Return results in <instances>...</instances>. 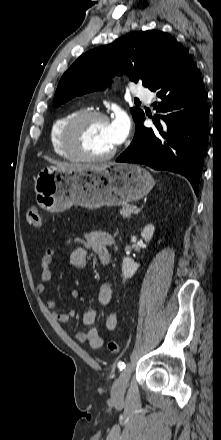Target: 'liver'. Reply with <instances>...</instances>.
Masks as SVG:
<instances>
[{
	"mask_svg": "<svg viewBox=\"0 0 221 440\" xmlns=\"http://www.w3.org/2000/svg\"><path fill=\"white\" fill-rule=\"evenodd\" d=\"M45 159L47 161H49L50 163L54 164V166L58 167L59 169L82 170V169H86V168L95 166V165H90V164H76V163L58 162V161H54L48 157H45Z\"/></svg>",
	"mask_w": 221,
	"mask_h": 440,
	"instance_id": "liver-1",
	"label": "liver"
}]
</instances>
